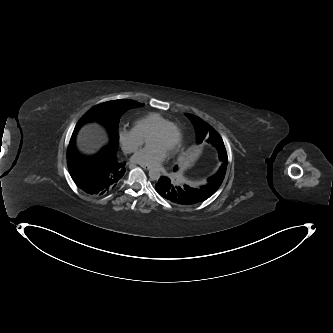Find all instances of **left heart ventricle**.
<instances>
[{"label":"left heart ventricle","instance_id":"1","mask_svg":"<svg viewBox=\"0 0 333 333\" xmlns=\"http://www.w3.org/2000/svg\"><path fill=\"white\" fill-rule=\"evenodd\" d=\"M175 137H176L175 132L173 130H168L163 134L150 135L147 139V143L149 145H157L160 148L168 151V149L174 142Z\"/></svg>","mask_w":333,"mask_h":333}]
</instances>
